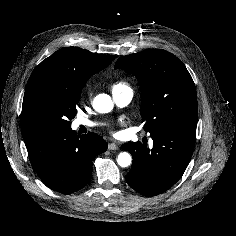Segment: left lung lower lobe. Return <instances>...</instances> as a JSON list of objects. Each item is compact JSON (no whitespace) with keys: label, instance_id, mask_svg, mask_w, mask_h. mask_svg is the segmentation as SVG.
<instances>
[{"label":"left lung lower lobe","instance_id":"1","mask_svg":"<svg viewBox=\"0 0 236 236\" xmlns=\"http://www.w3.org/2000/svg\"><path fill=\"white\" fill-rule=\"evenodd\" d=\"M196 131L182 128H164L150 132L153 147L129 142L121 148L133 156L127 183L147 197L171 188L183 175L195 146Z\"/></svg>","mask_w":236,"mask_h":236}]
</instances>
